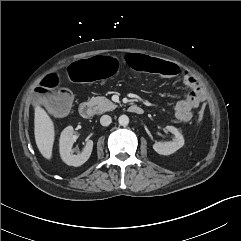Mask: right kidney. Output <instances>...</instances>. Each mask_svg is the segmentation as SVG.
Here are the masks:
<instances>
[{
    "mask_svg": "<svg viewBox=\"0 0 241 241\" xmlns=\"http://www.w3.org/2000/svg\"><path fill=\"white\" fill-rule=\"evenodd\" d=\"M74 129L72 126L66 127L60 136V156L62 160L70 166L78 167L84 164L90 157L93 149V141L88 140L83 150L77 155L73 154L72 146L75 142Z\"/></svg>",
    "mask_w": 241,
    "mask_h": 241,
    "instance_id": "obj_1",
    "label": "right kidney"
}]
</instances>
